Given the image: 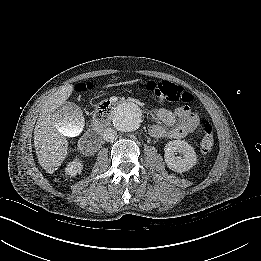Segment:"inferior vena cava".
<instances>
[{
    "mask_svg": "<svg viewBox=\"0 0 261 261\" xmlns=\"http://www.w3.org/2000/svg\"><path fill=\"white\" fill-rule=\"evenodd\" d=\"M116 135H117V132L112 128H107L103 132V138L107 142L112 141Z\"/></svg>",
    "mask_w": 261,
    "mask_h": 261,
    "instance_id": "obj_1",
    "label": "inferior vena cava"
}]
</instances>
